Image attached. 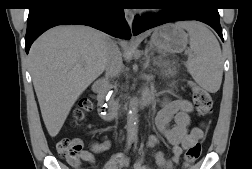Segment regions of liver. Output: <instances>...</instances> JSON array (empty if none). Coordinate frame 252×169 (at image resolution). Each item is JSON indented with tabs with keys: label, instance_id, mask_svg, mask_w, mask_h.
I'll use <instances>...</instances> for the list:
<instances>
[{
	"label": "liver",
	"instance_id": "liver-1",
	"mask_svg": "<svg viewBox=\"0 0 252 169\" xmlns=\"http://www.w3.org/2000/svg\"><path fill=\"white\" fill-rule=\"evenodd\" d=\"M111 37L82 25L57 26L29 51V67L42 118L51 137L61 130L74 103L105 70Z\"/></svg>",
	"mask_w": 252,
	"mask_h": 169
}]
</instances>
